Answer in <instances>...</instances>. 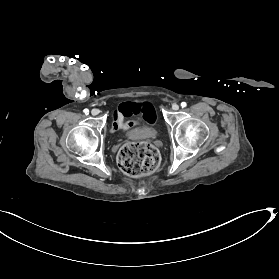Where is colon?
Instances as JSON below:
<instances>
[{"instance_id":"5ec220e1","label":"colon","mask_w":279,"mask_h":279,"mask_svg":"<svg viewBox=\"0 0 279 279\" xmlns=\"http://www.w3.org/2000/svg\"><path fill=\"white\" fill-rule=\"evenodd\" d=\"M121 170L131 177L153 172L159 164L157 150L147 142L126 144L118 154Z\"/></svg>"}]
</instances>
